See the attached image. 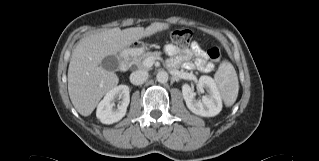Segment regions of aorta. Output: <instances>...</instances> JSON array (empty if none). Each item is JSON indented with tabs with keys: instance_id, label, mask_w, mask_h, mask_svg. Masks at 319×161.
Returning a JSON list of instances; mask_svg holds the SVG:
<instances>
[{
	"instance_id": "aorta-1",
	"label": "aorta",
	"mask_w": 319,
	"mask_h": 161,
	"mask_svg": "<svg viewBox=\"0 0 319 161\" xmlns=\"http://www.w3.org/2000/svg\"><path fill=\"white\" fill-rule=\"evenodd\" d=\"M168 73L166 71H159L157 73L156 79L159 83H166L168 81Z\"/></svg>"
}]
</instances>
